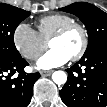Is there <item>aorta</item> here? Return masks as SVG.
I'll list each match as a JSON object with an SVG mask.
<instances>
[{
	"mask_svg": "<svg viewBox=\"0 0 107 107\" xmlns=\"http://www.w3.org/2000/svg\"><path fill=\"white\" fill-rule=\"evenodd\" d=\"M52 79L56 84L62 85L67 81V74L64 71H55L52 74Z\"/></svg>",
	"mask_w": 107,
	"mask_h": 107,
	"instance_id": "aorta-1",
	"label": "aorta"
}]
</instances>
